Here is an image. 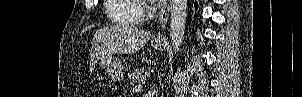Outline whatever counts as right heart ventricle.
<instances>
[{"label": "right heart ventricle", "instance_id": "right-heart-ventricle-1", "mask_svg": "<svg viewBox=\"0 0 302 97\" xmlns=\"http://www.w3.org/2000/svg\"><path fill=\"white\" fill-rule=\"evenodd\" d=\"M105 12L109 21L117 26L135 27L140 21L136 0H107Z\"/></svg>", "mask_w": 302, "mask_h": 97}]
</instances>
